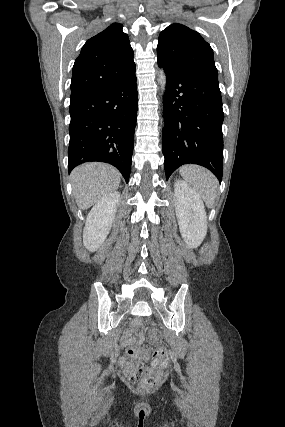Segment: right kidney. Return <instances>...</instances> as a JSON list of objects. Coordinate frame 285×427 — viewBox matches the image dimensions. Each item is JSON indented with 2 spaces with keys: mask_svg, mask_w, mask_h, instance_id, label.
I'll return each instance as SVG.
<instances>
[{
  "mask_svg": "<svg viewBox=\"0 0 285 427\" xmlns=\"http://www.w3.org/2000/svg\"><path fill=\"white\" fill-rule=\"evenodd\" d=\"M120 193L112 192L102 197L89 212L83 230V243L89 251H95L105 241L119 203Z\"/></svg>",
  "mask_w": 285,
  "mask_h": 427,
  "instance_id": "1",
  "label": "right kidney"
}]
</instances>
